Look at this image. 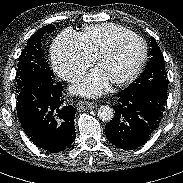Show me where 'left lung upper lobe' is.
<instances>
[{"label":"left lung upper lobe","mask_w":183,"mask_h":183,"mask_svg":"<svg viewBox=\"0 0 183 183\" xmlns=\"http://www.w3.org/2000/svg\"><path fill=\"white\" fill-rule=\"evenodd\" d=\"M151 45L153 48L152 61L149 62L147 70L127 90L131 94L143 95L166 104L168 83L164 58L153 37Z\"/></svg>","instance_id":"5c2ea615"}]
</instances>
